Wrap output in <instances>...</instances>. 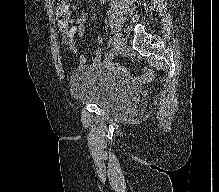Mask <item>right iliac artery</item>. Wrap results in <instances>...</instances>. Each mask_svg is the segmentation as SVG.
Returning <instances> with one entry per match:
<instances>
[{
	"label": "right iliac artery",
	"mask_w": 219,
	"mask_h": 192,
	"mask_svg": "<svg viewBox=\"0 0 219 192\" xmlns=\"http://www.w3.org/2000/svg\"><path fill=\"white\" fill-rule=\"evenodd\" d=\"M108 44H109V47H110L111 49H110V51L108 52V54L106 55V57L109 59V58H111V57L113 56V53H112L113 48H112V46H113L114 42H113V38H112L111 36H109Z\"/></svg>",
	"instance_id": "82829eb1"
}]
</instances>
